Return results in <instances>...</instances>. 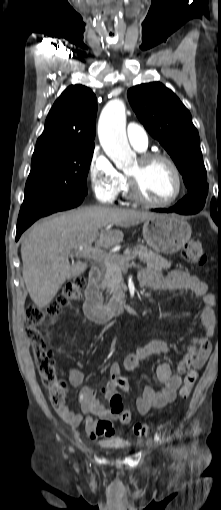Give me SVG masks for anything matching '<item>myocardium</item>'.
Segmentation results:
<instances>
[{"mask_svg": "<svg viewBox=\"0 0 221 510\" xmlns=\"http://www.w3.org/2000/svg\"><path fill=\"white\" fill-rule=\"evenodd\" d=\"M139 162L143 165L148 164L150 162L161 160L166 162L170 168L172 169L175 179H176V190L171 198L165 201H152L145 198L139 189L138 180L135 177L127 174V187L128 194L132 200L137 203H140L145 206L154 207V208H165L172 204H174L182 195L184 190V180L182 173L176 164V162L166 154L159 152H146L140 155Z\"/></svg>", "mask_w": 221, "mask_h": 510, "instance_id": "obj_1", "label": "myocardium"}]
</instances>
